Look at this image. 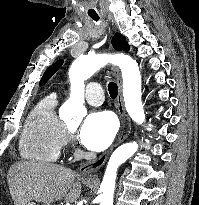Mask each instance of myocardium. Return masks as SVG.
<instances>
[{
  "instance_id": "f54148a6",
  "label": "myocardium",
  "mask_w": 199,
  "mask_h": 205,
  "mask_svg": "<svg viewBox=\"0 0 199 205\" xmlns=\"http://www.w3.org/2000/svg\"><path fill=\"white\" fill-rule=\"evenodd\" d=\"M65 131L68 133V134H71V130L69 128H65Z\"/></svg>"
}]
</instances>
